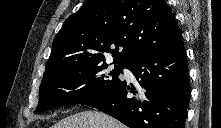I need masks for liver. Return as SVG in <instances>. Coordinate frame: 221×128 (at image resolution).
<instances>
[{
    "instance_id": "liver-1",
    "label": "liver",
    "mask_w": 221,
    "mask_h": 128,
    "mask_svg": "<svg viewBox=\"0 0 221 128\" xmlns=\"http://www.w3.org/2000/svg\"><path fill=\"white\" fill-rule=\"evenodd\" d=\"M52 128H126V126L105 113L83 111L62 119Z\"/></svg>"
}]
</instances>
